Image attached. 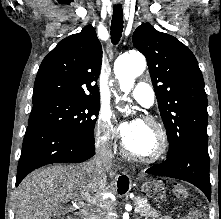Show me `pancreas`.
<instances>
[{
    "instance_id": "pancreas-1",
    "label": "pancreas",
    "mask_w": 221,
    "mask_h": 219,
    "mask_svg": "<svg viewBox=\"0 0 221 219\" xmlns=\"http://www.w3.org/2000/svg\"><path fill=\"white\" fill-rule=\"evenodd\" d=\"M135 208H138L139 211L137 212L140 217H144L145 219L151 218L156 219L158 218L161 213L153 209L148 203L144 202V199L141 197H137L134 199ZM90 219H107L106 217H102V213L97 215H93Z\"/></svg>"
}]
</instances>
